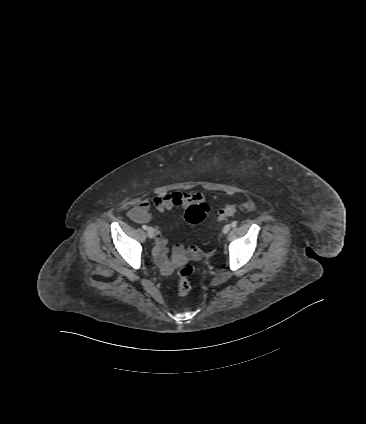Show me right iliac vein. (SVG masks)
<instances>
[{
  "label": "right iliac vein",
  "instance_id": "right-iliac-vein-1",
  "mask_svg": "<svg viewBox=\"0 0 366 424\" xmlns=\"http://www.w3.org/2000/svg\"><path fill=\"white\" fill-rule=\"evenodd\" d=\"M147 235H148V237H149V238H154V236H155L154 229H153V228H151V227H149V228L147 229Z\"/></svg>",
  "mask_w": 366,
  "mask_h": 424
}]
</instances>
